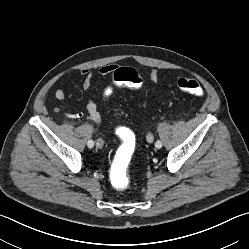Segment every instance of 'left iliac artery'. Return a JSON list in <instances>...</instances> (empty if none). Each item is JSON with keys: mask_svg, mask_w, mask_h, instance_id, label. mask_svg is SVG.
<instances>
[{"mask_svg": "<svg viewBox=\"0 0 249 249\" xmlns=\"http://www.w3.org/2000/svg\"><path fill=\"white\" fill-rule=\"evenodd\" d=\"M156 148H161L162 147V142L161 141H156L155 143Z\"/></svg>", "mask_w": 249, "mask_h": 249, "instance_id": "obj_1", "label": "left iliac artery"}]
</instances>
